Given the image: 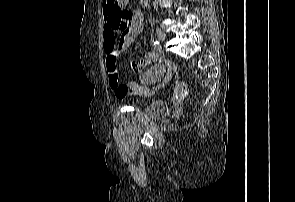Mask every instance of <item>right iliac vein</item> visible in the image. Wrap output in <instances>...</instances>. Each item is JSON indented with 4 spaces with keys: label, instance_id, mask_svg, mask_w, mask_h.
Here are the masks:
<instances>
[{
    "label": "right iliac vein",
    "instance_id": "1",
    "mask_svg": "<svg viewBox=\"0 0 295 202\" xmlns=\"http://www.w3.org/2000/svg\"><path fill=\"white\" fill-rule=\"evenodd\" d=\"M156 36L160 42H164L166 40V34L159 28L156 29Z\"/></svg>",
    "mask_w": 295,
    "mask_h": 202
}]
</instances>
